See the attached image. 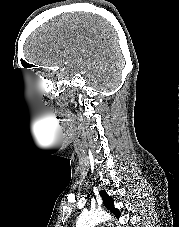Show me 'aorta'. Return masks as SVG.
Segmentation results:
<instances>
[{
  "instance_id": "aorta-1",
  "label": "aorta",
  "mask_w": 179,
  "mask_h": 227,
  "mask_svg": "<svg viewBox=\"0 0 179 227\" xmlns=\"http://www.w3.org/2000/svg\"><path fill=\"white\" fill-rule=\"evenodd\" d=\"M109 219H111V215L103 210L86 211L78 217L76 227H95L97 224Z\"/></svg>"
}]
</instances>
